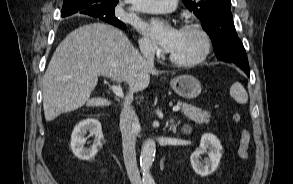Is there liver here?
Returning <instances> with one entry per match:
<instances>
[{"label":"liver","instance_id":"6515ba94","mask_svg":"<svg viewBox=\"0 0 293 184\" xmlns=\"http://www.w3.org/2000/svg\"><path fill=\"white\" fill-rule=\"evenodd\" d=\"M158 73L120 29L99 22L83 25L58 45L45 72L42 82L45 119L53 121L85 104L110 105L107 99L90 98L100 75L126 82L129 95H133L148 87L150 74Z\"/></svg>","mask_w":293,"mask_h":184}]
</instances>
